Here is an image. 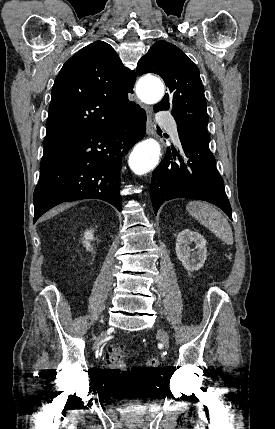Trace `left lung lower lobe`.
<instances>
[{
  "mask_svg": "<svg viewBox=\"0 0 275 429\" xmlns=\"http://www.w3.org/2000/svg\"><path fill=\"white\" fill-rule=\"evenodd\" d=\"M157 129L161 133L160 128ZM178 134L184 156L178 155L176 160L177 152L167 149L164 159L152 173L150 196L155 214L165 201L190 198L213 203L232 219L224 181L209 150L210 140L182 129H178Z\"/></svg>",
  "mask_w": 275,
  "mask_h": 429,
  "instance_id": "1",
  "label": "left lung lower lobe"
}]
</instances>
